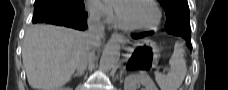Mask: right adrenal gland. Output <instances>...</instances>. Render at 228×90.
<instances>
[{"instance_id":"1","label":"right adrenal gland","mask_w":228,"mask_h":90,"mask_svg":"<svg viewBox=\"0 0 228 90\" xmlns=\"http://www.w3.org/2000/svg\"><path fill=\"white\" fill-rule=\"evenodd\" d=\"M82 75V73H76V74H73V77H79V76H81Z\"/></svg>"}]
</instances>
